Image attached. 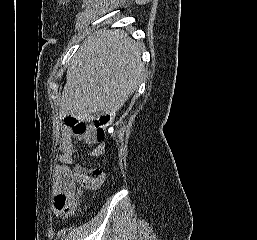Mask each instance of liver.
Listing matches in <instances>:
<instances>
[{
  "instance_id": "obj_1",
  "label": "liver",
  "mask_w": 257,
  "mask_h": 240,
  "mask_svg": "<svg viewBox=\"0 0 257 240\" xmlns=\"http://www.w3.org/2000/svg\"><path fill=\"white\" fill-rule=\"evenodd\" d=\"M141 47L121 30L99 31L80 47L59 97L61 113L90 120L115 115L143 79Z\"/></svg>"
}]
</instances>
